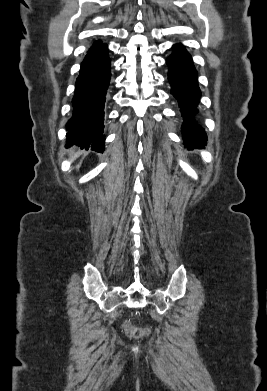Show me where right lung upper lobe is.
<instances>
[{"mask_svg":"<svg viewBox=\"0 0 267 391\" xmlns=\"http://www.w3.org/2000/svg\"><path fill=\"white\" fill-rule=\"evenodd\" d=\"M99 44H100V42H99V41H98V42H95L92 48H94V47L98 46Z\"/></svg>","mask_w":267,"mask_h":391,"instance_id":"1","label":"right lung upper lobe"}]
</instances>
